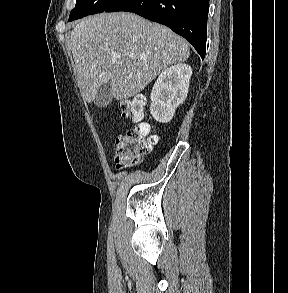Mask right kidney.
Here are the masks:
<instances>
[{
	"label": "right kidney",
	"instance_id": "1",
	"mask_svg": "<svg viewBox=\"0 0 288 293\" xmlns=\"http://www.w3.org/2000/svg\"><path fill=\"white\" fill-rule=\"evenodd\" d=\"M191 75V67L181 63L160 73L151 92L150 112L156 121L167 123L172 119L187 97Z\"/></svg>",
	"mask_w": 288,
	"mask_h": 293
}]
</instances>
